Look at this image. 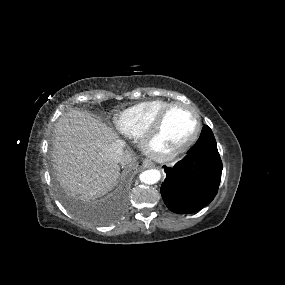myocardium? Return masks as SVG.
<instances>
[{
  "label": "myocardium",
  "instance_id": "f54148a6",
  "mask_svg": "<svg viewBox=\"0 0 285 285\" xmlns=\"http://www.w3.org/2000/svg\"><path fill=\"white\" fill-rule=\"evenodd\" d=\"M177 107H184L192 111L196 117V127L192 135L188 140H186L180 146L171 149L169 151L159 152L153 148V141L159 135L162 130L164 121L166 120L168 114ZM202 131V119L199 111L192 105L183 102H174L166 107L155 119L152 125L147 129L144 135L141 137V148L143 152L150 158L157 162H168L179 155L186 152L191 146L195 144L198 140L200 133Z\"/></svg>",
  "mask_w": 285,
  "mask_h": 285
}]
</instances>
